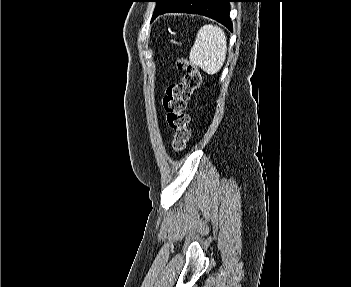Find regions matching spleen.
I'll return each instance as SVG.
<instances>
[{"instance_id": "spleen-1", "label": "spleen", "mask_w": 351, "mask_h": 287, "mask_svg": "<svg viewBox=\"0 0 351 287\" xmlns=\"http://www.w3.org/2000/svg\"><path fill=\"white\" fill-rule=\"evenodd\" d=\"M227 38L216 25H204L196 35L189 59L208 74H216L226 59Z\"/></svg>"}]
</instances>
